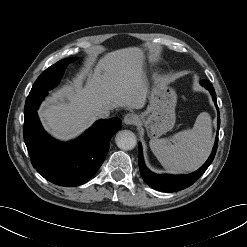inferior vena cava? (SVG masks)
Segmentation results:
<instances>
[{
    "label": "inferior vena cava",
    "mask_w": 247,
    "mask_h": 247,
    "mask_svg": "<svg viewBox=\"0 0 247 247\" xmlns=\"http://www.w3.org/2000/svg\"><path fill=\"white\" fill-rule=\"evenodd\" d=\"M109 115H110V110L109 109H105V108L99 109L96 112V116L98 118H108Z\"/></svg>",
    "instance_id": "inferior-vena-cava-1"
}]
</instances>
